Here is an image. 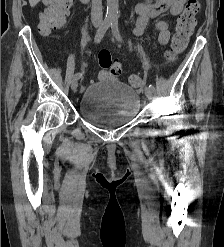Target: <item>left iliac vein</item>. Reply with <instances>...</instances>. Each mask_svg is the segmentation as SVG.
Returning a JSON list of instances; mask_svg holds the SVG:
<instances>
[{"label": "left iliac vein", "mask_w": 224, "mask_h": 247, "mask_svg": "<svg viewBox=\"0 0 224 247\" xmlns=\"http://www.w3.org/2000/svg\"><path fill=\"white\" fill-rule=\"evenodd\" d=\"M145 95L146 97L149 99V100H152L153 99V90L149 87H146L145 90Z\"/></svg>", "instance_id": "1"}]
</instances>
